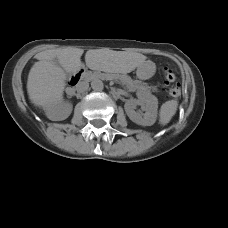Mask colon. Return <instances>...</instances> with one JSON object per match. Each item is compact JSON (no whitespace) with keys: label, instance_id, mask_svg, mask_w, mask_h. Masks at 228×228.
<instances>
[{"label":"colon","instance_id":"colon-1","mask_svg":"<svg viewBox=\"0 0 228 228\" xmlns=\"http://www.w3.org/2000/svg\"><path fill=\"white\" fill-rule=\"evenodd\" d=\"M164 78H165V84L166 85H169V84L174 82L175 75H174L173 71L168 66L164 67ZM179 93H180L179 84H173L171 86V88L169 89L170 96L175 97V96L179 95Z\"/></svg>","mask_w":228,"mask_h":228}]
</instances>
